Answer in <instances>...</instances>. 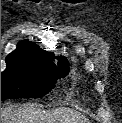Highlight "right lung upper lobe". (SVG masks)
Wrapping results in <instances>:
<instances>
[{"mask_svg": "<svg viewBox=\"0 0 122 123\" xmlns=\"http://www.w3.org/2000/svg\"><path fill=\"white\" fill-rule=\"evenodd\" d=\"M55 55L41 49L38 45L30 41H20L16 50L10 53L6 61L20 62L27 65L38 67H56L53 63ZM60 67H66L67 61L63 56H57Z\"/></svg>", "mask_w": 122, "mask_h": 123, "instance_id": "cb5924a9", "label": "right lung upper lobe"}]
</instances>
